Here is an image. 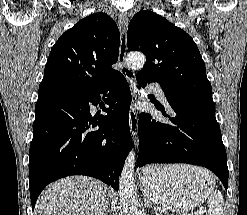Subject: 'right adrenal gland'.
Masks as SVG:
<instances>
[{"instance_id": "1", "label": "right adrenal gland", "mask_w": 247, "mask_h": 215, "mask_svg": "<svg viewBox=\"0 0 247 215\" xmlns=\"http://www.w3.org/2000/svg\"><path fill=\"white\" fill-rule=\"evenodd\" d=\"M109 201H107V204H106V207H105V210H104V213L103 215H107V213L109 212Z\"/></svg>"}]
</instances>
